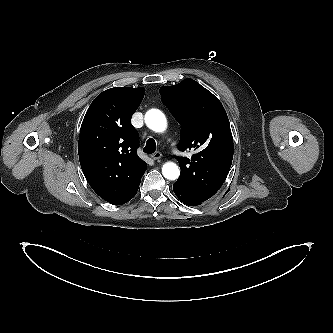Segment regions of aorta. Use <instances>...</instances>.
Here are the masks:
<instances>
[{"instance_id": "obj_1", "label": "aorta", "mask_w": 333, "mask_h": 333, "mask_svg": "<svg viewBox=\"0 0 333 333\" xmlns=\"http://www.w3.org/2000/svg\"><path fill=\"white\" fill-rule=\"evenodd\" d=\"M145 123L153 131L161 133L167 127L165 115L157 109H151L145 114ZM162 174L166 179L175 180L179 177L178 166L173 162H167L162 167Z\"/></svg>"}]
</instances>
